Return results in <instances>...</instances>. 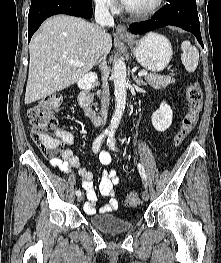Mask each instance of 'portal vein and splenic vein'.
Returning <instances> with one entry per match:
<instances>
[{
  "label": "portal vein and splenic vein",
  "instance_id": "obj_1",
  "mask_svg": "<svg viewBox=\"0 0 221 263\" xmlns=\"http://www.w3.org/2000/svg\"><path fill=\"white\" fill-rule=\"evenodd\" d=\"M68 62H69L71 65L78 66V67H82V66L84 65L83 62L77 61V60H69ZM145 75H147V72H146V71H140V72L138 73V76H145Z\"/></svg>",
  "mask_w": 221,
  "mask_h": 263
}]
</instances>
